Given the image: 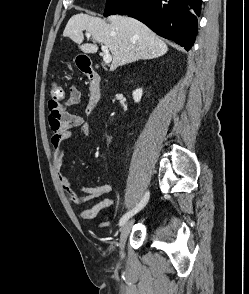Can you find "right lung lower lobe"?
Listing matches in <instances>:
<instances>
[{"label": "right lung lower lobe", "instance_id": "obj_1", "mask_svg": "<svg viewBox=\"0 0 249 294\" xmlns=\"http://www.w3.org/2000/svg\"><path fill=\"white\" fill-rule=\"evenodd\" d=\"M202 0H128L117 14L134 17L187 51L197 35Z\"/></svg>", "mask_w": 249, "mask_h": 294}]
</instances>
